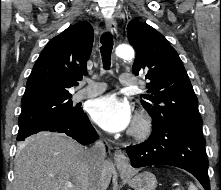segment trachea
<instances>
[{
  "label": "trachea",
  "mask_w": 221,
  "mask_h": 190,
  "mask_svg": "<svg viewBox=\"0 0 221 190\" xmlns=\"http://www.w3.org/2000/svg\"><path fill=\"white\" fill-rule=\"evenodd\" d=\"M100 52L102 56L103 68L109 70L111 66V53L113 49V36L110 32L102 34Z\"/></svg>",
  "instance_id": "1"
}]
</instances>
